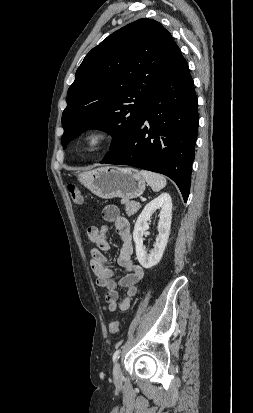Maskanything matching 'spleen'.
<instances>
[{
	"label": "spleen",
	"mask_w": 253,
	"mask_h": 413,
	"mask_svg": "<svg viewBox=\"0 0 253 413\" xmlns=\"http://www.w3.org/2000/svg\"><path fill=\"white\" fill-rule=\"evenodd\" d=\"M140 174L143 176L148 185L151 186L152 190L155 192L160 191L167 184L165 177L161 174L147 170H141Z\"/></svg>",
	"instance_id": "1"
}]
</instances>
